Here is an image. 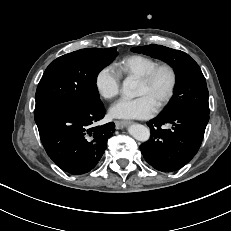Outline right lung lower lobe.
<instances>
[{
    "instance_id": "obj_1",
    "label": "right lung lower lobe",
    "mask_w": 231,
    "mask_h": 231,
    "mask_svg": "<svg viewBox=\"0 0 231 231\" xmlns=\"http://www.w3.org/2000/svg\"><path fill=\"white\" fill-rule=\"evenodd\" d=\"M104 115L103 104L90 108L56 107L36 114L41 142L52 161L73 175L93 169L115 131L113 122L93 126Z\"/></svg>"
}]
</instances>
